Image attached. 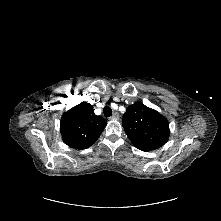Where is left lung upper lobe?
I'll return each instance as SVG.
<instances>
[{"instance_id": "obj_1", "label": "left lung upper lobe", "mask_w": 221, "mask_h": 221, "mask_svg": "<svg viewBox=\"0 0 221 221\" xmlns=\"http://www.w3.org/2000/svg\"><path fill=\"white\" fill-rule=\"evenodd\" d=\"M122 125L133 145L142 151L160 148L170 134L167 119L141 102L127 108Z\"/></svg>"}]
</instances>
